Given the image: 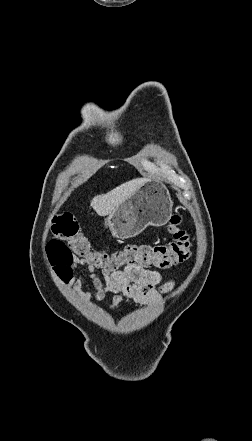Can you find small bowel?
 <instances>
[{
    "instance_id": "1",
    "label": "small bowel",
    "mask_w": 252,
    "mask_h": 441,
    "mask_svg": "<svg viewBox=\"0 0 252 441\" xmlns=\"http://www.w3.org/2000/svg\"><path fill=\"white\" fill-rule=\"evenodd\" d=\"M87 266L89 272L90 291H84L83 278L74 277V270ZM96 266L84 258L75 257L69 273L63 280L84 299H104L108 292L115 294L110 305L111 309L120 307L125 297L143 305H152L161 300L162 296L175 286L173 280L162 281L159 272L140 266H130L119 270L103 269V279L95 273Z\"/></svg>"
}]
</instances>
